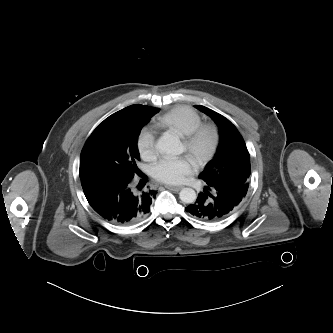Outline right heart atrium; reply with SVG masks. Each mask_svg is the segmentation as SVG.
Masks as SVG:
<instances>
[{"label":"right heart atrium","instance_id":"d8ad5b80","mask_svg":"<svg viewBox=\"0 0 333 333\" xmlns=\"http://www.w3.org/2000/svg\"><path fill=\"white\" fill-rule=\"evenodd\" d=\"M137 149L141 158L146 161H151L156 157V138L150 130L145 129L141 132L137 140Z\"/></svg>","mask_w":333,"mask_h":333}]
</instances>
